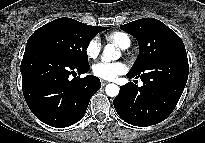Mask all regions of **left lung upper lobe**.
<instances>
[{
    "mask_svg": "<svg viewBox=\"0 0 205 143\" xmlns=\"http://www.w3.org/2000/svg\"><path fill=\"white\" fill-rule=\"evenodd\" d=\"M121 29L134 36L139 43L140 53L131 74H140L155 61L170 53L186 51L181 38L168 26L154 18H143L121 25Z\"/></svg>",
    "mask_w": 205,
    "mask_h": 143,
    "instance_id": "obj_1",
    "label": "left lung upper lobe"
}]
</instances>
